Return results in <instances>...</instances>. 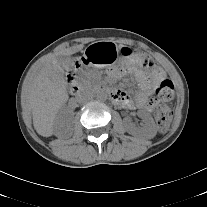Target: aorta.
I'll list each match as a JSON object with an SVG mask.
<instances>
[{
    "instance_id": "762f6f07",
    "label": "aorta",
    "mask_w": 207,
    "mask_h": 207,
    "mask_svg": "<svg viewBox=\"0 0 207 207\" xmlns=\"http://www.w3.org/2000/svg\"><path fill=\"white\" fill-rule=\"evenodd\" d=\"M107 98H108V94H107V92L104 91V90H100V91H98V92L96 93V99H97L98 101L104 102V101L107 100Z\"/></svg>"
}]
</instances>
